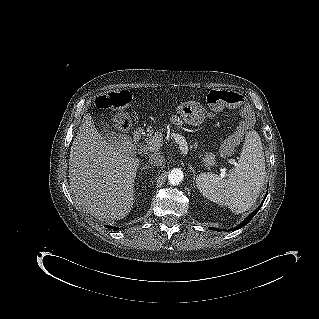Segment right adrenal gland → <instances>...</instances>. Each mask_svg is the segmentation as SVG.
Segmentation results:
<instances>
[{"instance_id":"1","label":"right adrenal gland","mask_w":319,"mask_h":319,"mask_svg":"<svg viewBox=\"0 0 319 319\" xmlns=\"http://www.w3.org/2000/svg\"><path fill=\"white\" fill-rule=\"evenodd\" d=\"M151 167L149 165H146V166H143L141 169L144 170V169H150Z\"/></svg>"}]
</instances>
